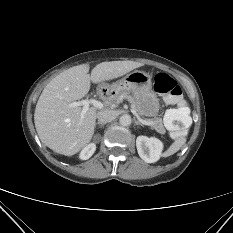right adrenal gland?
Here are the masks:
<instances>
[{"mask_svg": "<svg viewBox=\"0 0 233 233\" xmlns=\"http://www.w3.org/2000/svg\"><path fill=\"white\" fill-rule=\"evenodd\" d=\"M96 125H100V127H103L104 126V124H102V123H97Z\"/></svg>", "mask_w": 233, "mask_h": 233, "instance_id": "1", "label": "right adrenal gland"}]
</instances>
